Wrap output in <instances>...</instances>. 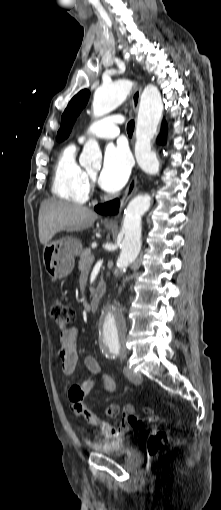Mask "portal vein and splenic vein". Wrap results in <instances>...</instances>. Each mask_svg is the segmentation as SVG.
I'll list each match as a JSON object with an SVG mask.
<instances>
[{"mask_svg":"<svg viewBox=\"0 0 221 510\" xmlns=\"http://www.w3.org/2000/svg\"><path fill=\"white\" fill-rule=\"evenodd\" d=\"M94 259H95V257H94V255H92V256L90 257V259H89L90 263H92V262L94 261Z\"/></svg>","mask_w":221,"mask_h":510,"instance_id":"portal-vein-and-splenic-vein-1","label":"portal vein and splenic vein"}]
</instances>
